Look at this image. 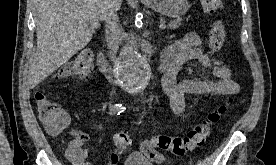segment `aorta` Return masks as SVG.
<instances>
[{
	"label": "aorta",
	"instance_id": "obj_1",
	"mask_svg": "<svg viewBox=\"0 0 276 165\" xmlns=\"http://www.w3.org/2000/svg\"><path fill=\"white\" fill-rule=\"evenodd\" d=\"M149 66L133 43L127 44L119 59L118 75L121 85L128 90H140L146 83Z\"/></svg>",
	"mask_w": 276,
	"mask_h": 165
}]
</instances>
